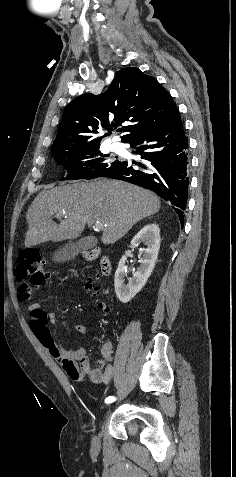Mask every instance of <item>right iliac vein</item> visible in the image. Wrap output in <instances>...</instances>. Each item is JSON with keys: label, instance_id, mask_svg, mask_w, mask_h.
<instances>
[{"label": "right iliac vein", "instance_id": "63e3f726", "mask_svg": "<svg viewBox=\"0 0 236 477\" xmlns=\"http://www.w3.org/2000/svg\"><path fill=\"white\" fill-rule=\"evenodd\" d=\"M111 407H112V405H109V404H107L106 407H105L106 409H105V414L104 415L107 418L110 417V415H111V412H110V409H109ZM93 446H94V448H99L100 447V439H99L98 436H94Z\"/></svg>", "mask_w": 236, "mask_h": 477}]
</instances>
